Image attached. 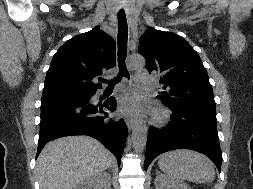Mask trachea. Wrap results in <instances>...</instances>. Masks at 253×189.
<instances>
[{
    "label": "trachea",
    "instance_id": "3493384b",
    "mask_svg": "<svg viewBox=\"0 0 253 189\" xmlns=\"http://www.w3.org/2000/svg\"><path fill=\"white\" fill-rule=\"evenodd\" d=\"M127 39H128V27H127V19L125 15H118V66L119 73L112 80H104L101 82L108 83V87L113 88L115 84L121 81V79L125 76L129 78V72L125 65V59L127 56Z\"/></svg>",
    "mask_w": 253,
    "mask_h": 189
}]
</instances>
